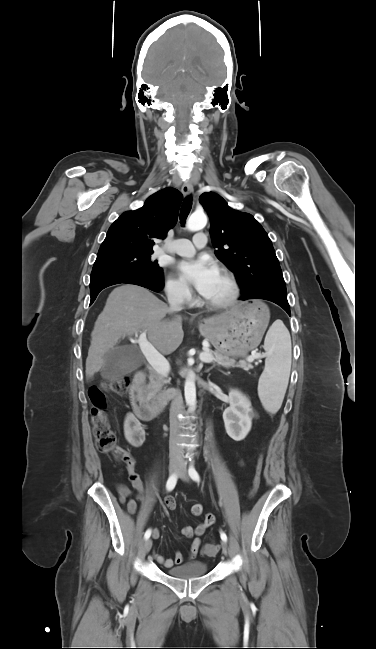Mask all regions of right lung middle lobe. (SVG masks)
I'll return each mask as SVG.
<instances>
[{
  "label": "right lung middle lobe",
  "instance_id": "obj_1",
  "mask_svg": "<svg viewBox=\"0 0 376 649\" xmlns=\"http://www.w3.org/2000/svg\"><path fill=\"white\" fill-rule=\"evenodd\" d=\"M153 251H117L97 255L91 276L110 270H126L161 275L157 261L151 260Z\"/></svg>",
  "mask_w": 376,
  "mask_h": 649
}]
</instances>
